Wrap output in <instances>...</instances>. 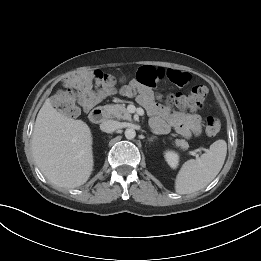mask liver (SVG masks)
Segmentation results:
<instances>
[{
    "mask_svg": "<svg viewBox=\"0 0 261 261\" xmlns=\"http://www.w3.org/2000/svg\"><path fill=\"white\" fill-rule=\"evenodd\" d=\"M92 134L82 120L58 112L46 99L32 134L36 165L54 185L75 188L89 179L94 166Z\"/></svg>",
    "mask_w": 261,
    "mask_h": 261,
    "instance_id": "1",
    "label": "liver"
}]
</instances>
